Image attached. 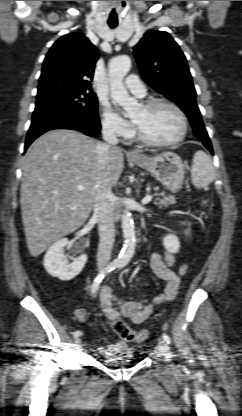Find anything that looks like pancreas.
<instances>
[{"label":"pancreas","instance_id":"pancreas-1","mask_svg":"<svg viewBox=\"0 0 242 416\" xmlns=\"http://www.w3.org/2000/svg\"><path fill=\"white\" fill-rule=\"evenodd\" d=\"M154 196H161L155 199L154 205L158 206L159 208L168 207L169 205L176 203V198L171 195H165L164 193L157 194L155 193Z\"/></svg>","mask_w":242,"mask_h":416}]
</instances>
